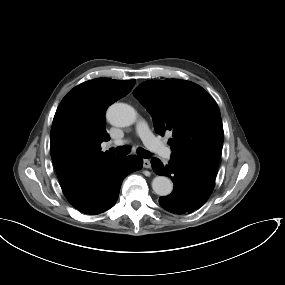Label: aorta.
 <instances>
[{"label":"aorta","instance_id":"762f6f07","mask_svg":"<svg viewBox=\"0 0 285 285\" xmlns=\"http://www.w3.org/2000/svg\"><path fill=\"white\" fill-rule=\"evenodd\" d=\"M107 119L114 126L127 127L135 123L137 113L128 104L114 103L107 111ZM152 189L159 196H167L173 190V183L165 176H156L152 181Z\"/></svg>","mask_w":285,"mask_h":285}]
</instances>
